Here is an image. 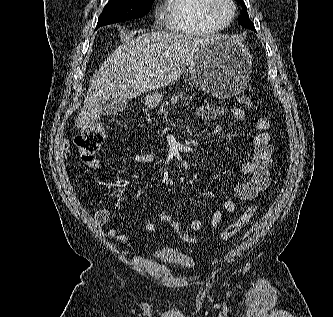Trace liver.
Returning <instances> with one entry per match:
<instances>
[{
	"instance_id": "obj_1",
	"label": "liver",
	"mask_w": 333,
	"mask_h": 317,
	"mask_svg": "<svg viewBox=\"0 0 333 317\" xmlns=\"http://www.w3.org/2000/svg\"><path fill=\"white\" fill-rule=\"evenodd\" d=\"M211 36L156 31L129 38L102 63L91 79L75 127L85 130L100 119L113 96L135 98L176 82L198 49Z\"/></svg>"
}]
</instances>
